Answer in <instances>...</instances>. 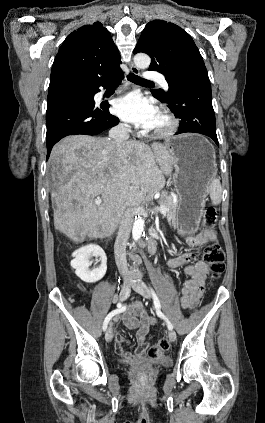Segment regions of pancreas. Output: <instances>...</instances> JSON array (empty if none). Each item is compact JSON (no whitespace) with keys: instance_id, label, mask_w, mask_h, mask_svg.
<instances>
[{"instance_id":"obj_1","label":"pancreas","mask_w":265,"mask_h":423,"mask_svg":"<svg viewBox=\"0 0 265 423\" xmlns=\"http://www.w3.org/2000/svg\"><path fill=\"white\" fill-rule=\"evenodd\" d=\"M158 202L160 205H165L167 207L165 216L168 223L174 225L176 223L177 202L174 201L173 196L168 195L167 192H162Z\"/></svg>"}]
</instances>
